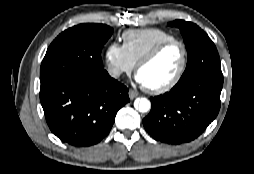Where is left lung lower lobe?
Listing matches in <instances>:
<instances>
[{"instance_id": "0a47b994", "label": "left lung lower lobe", "mask_w": 254, "mask_h": 174, "mask_svg": "<svg viewBox=\"0 0 254 174\" xmlns=\"http://www.w3.org/2000/svg\"><path fill=\"white\" fill-rule=\"evenodd\" d=\"M223 76L206 75L177 83L170 92L150 98L152 108L143 119L157 141L180 144L197 138L220 109Z\"/></svg>"}]
</instances>
